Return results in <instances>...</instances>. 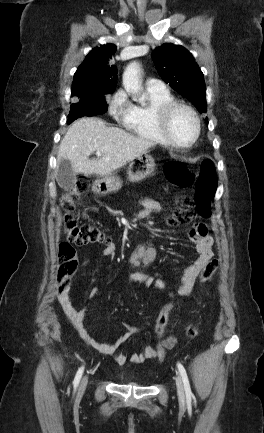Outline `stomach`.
Returning <instances> with one entry per match:
<instances>
[{"instance_id":"stomach-1","label":"stomach","mask_w":264,"mask_h":433,"mask_svg":"<svg viewBox=\"0 0 264 433\" xmlns=\"http://www.w3.org/2000/svg\"><path fill=\"white\" fill-rule=\"evenodd\" d=\"M154 158L145 153L144 155L132 161L128 168V179L131 182H139L143 179L152 176L155 171ZM122 182L117 176H108L99 179L93 184V191L99 195H106L120 190Z\"/></svg>"}]
</instances>
